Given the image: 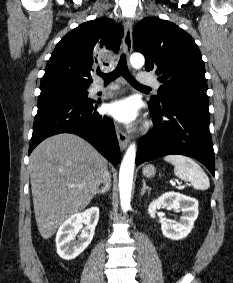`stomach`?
<instances>
[{
	"label": "stomach",
	"mask_w": 233,
	"mask_h": 283,
	"mask_svg": "<svg viewBox=\"0 0 233 283\" xmlns=\"http://www.w3.org/2000/svg\"><path fill=\"white\" fill-rule=\"evenodd\" d=\"M155 174H156V168L153 165L148 164V165L143 167V175L146 178H151V177L155 176Z\"/></svg>",
	"instance_id": "stomach-1"
}]
</instances>
